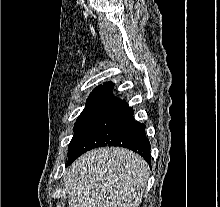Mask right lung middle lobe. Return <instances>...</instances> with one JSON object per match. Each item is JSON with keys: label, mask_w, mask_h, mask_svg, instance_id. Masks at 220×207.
Instances as JSON below:
<instances>
[{"label": "right lung middle lobe", "mask_w": 220, "mask_h": 207, "mask_svg": "<svg viewBox=\"0 0 220 207\" xmlns=\"http://www.w3.org/2000/svg\"><path fill=\"white\" fill-rule=\"evenodd\" d=\"M100 88H101V86L96 87L92 91V93L89 95V98L87 100V103H86V106H85L84 110L82 111V113L80 114V116L76 120V123H75V126H74L75 134L78 131V129L81 127V125L83 124L86 116L88 115L90 108L92 107L94 101L96 100V98L98 96Z\"/></svg>", "instance_id": "obj_1"}]
</instances>
